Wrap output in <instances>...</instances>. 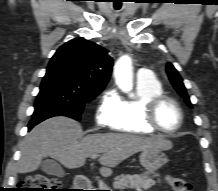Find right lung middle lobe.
Instances as JSON below:
<instances>
[{
	"mask_svg": "<svg viewBox=\"0 0 218 191\" xmlns=\"http://www.w3.org/2000/svg\"><path fill=\"white\" fill-rule=\"evenodd\" d=\"M101 91L84 85L60 70L47 68L30 123L36 122L42 113L49 117L63 115L80 120L85 104Z\"/></svg>",
	"mask_w": 218,
	"mask_h": 191,
	"instance_id": "dd1d6c3e",
	"label": "right lung middle lobe"
}]
</instances>
